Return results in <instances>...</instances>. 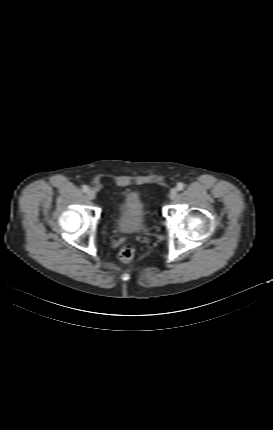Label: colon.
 Returning <instances> with one entry per match:
<instances>
[{
    "label": "colon",
    "instance_id": "obj_1",
    "mask_svg": "<svg viewBox=\"0 0 273 430\" xmlns=\"http://www.w3.org/2000/svg\"><path fill=\"white\" fill-rule=\"evenodd\" d=\"M135 256V247L131 244L123 245L119 250V258L125 262H131Z\"/></svg>",
    "mask_w": 273,
    "mask_h": 430
}]
</instances>
